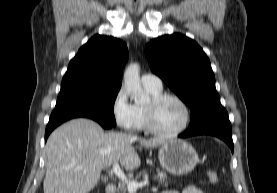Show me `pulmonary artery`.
Returning <instances> with one entry per match:
<instances>
[{"label": "pulmonary artery", "mask_w": 277, "mask_h": 193, "mask_svg": "<svg viewBox=\"0 0 277 193\" xmlns=\"http://www.w3.org/2000/svg\"><path fill=\"white\" fill-rule=\"evenodd\" d=\"M141 83L147 89L162 90V81L154 74L143 75L141 77Z\"/></svg>", "instance_id": "pulmonary-artery-1"}]
</instances>
